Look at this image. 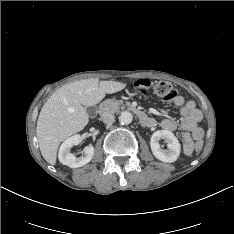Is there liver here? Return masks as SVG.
Returning a JSON list of instances; mask_svg holds the SVG:
<instances>
[{"mask_svg":"<svg viewBox=\"0 0 234 234\" xmlns=\"http://www.w3.org/2000/svg\"><path fill=\"white\" fill-rule=\"evenodd\" d=\"M125 86L122 82L91 78L69 83L54 92L37 121L36 135L43 158L55 165L59 144L88 124L86 107L98 104L106 94L121 91Z\"/></svg>","mask_w":234,"mask_h":234,"instance_id":"liver-1","label":"liver"}]
</instances>
